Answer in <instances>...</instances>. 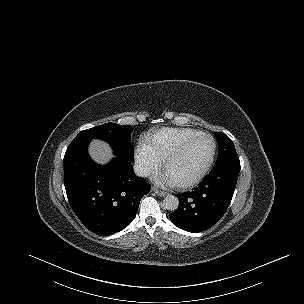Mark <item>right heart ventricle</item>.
I'll use <instances>...</instances> for the list:
<instances>
[{
  "label": "right heart ventricle",
  "mask_w": 304,
  "mask_h": 304,
  "mask_svg": "<svg viewBox=\"0 0 304 304\" xmlns=\"http://www.w3.org/2000/svg\"><path fill=\"white\" fill-rule=\"evenodd\" d=\"M200 133L193 128L164 127L151 133L148 145L160 159H164L181 144Z\"/></svg>",
  "instance_id": "right-heart-ventricle-1"
}]
</instances>
